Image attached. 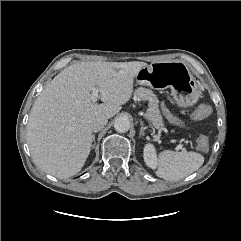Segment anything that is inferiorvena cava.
<instances>
[{
  "mask_svg": "<svg viewBox=\"0 0 241 241\" xmlns=\"http://www.w3.org/2000/svg\"><path fill=\"white\" fill-rule=\"evenodd\" d=\"M108 122V118L105 116H100L92 121L91 130L92 132L100 131Z\"/></svg>",
  "mask_w": 241,
  "mask_h": 241,
  "instance_id": "1",
  "label": "inferior vena cava"
}]
</instances>
